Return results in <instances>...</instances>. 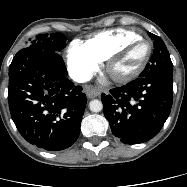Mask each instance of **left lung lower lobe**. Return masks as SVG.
I'll return each mask as SVG.
<instances>
[{"instance_id":"0a47b994","label":"left lung lower lobe","mask_w":187,"mask_h":187,"mask_svg":"<svg viewBox=\"0 0 187 187\" xmlns=\"http://www.w3.org/2000/svg\"><path fill=\"white\" fill-rule=\"evenodd\" d=\"M101 100L112 133L124 144L153 138L167 120L173 102V73L137 78L102 93Z\"/></svg>"}]
</instances>
